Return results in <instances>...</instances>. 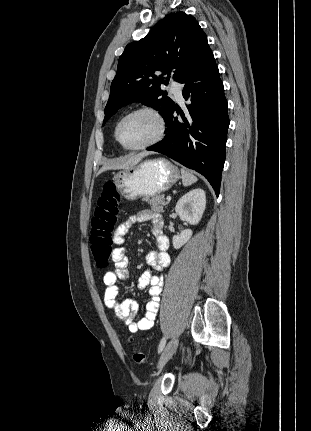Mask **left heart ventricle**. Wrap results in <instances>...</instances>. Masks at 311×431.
Listing matches in <instances>:
<instances>
[{
	"mask_svg": "<svg viewBox=\"0 0 311 431\" xmlns=\"http://www.w3.org/2000/svg\"><path fill=\"white\" fill-rule=\"evenodd\" d=\"M159 132V122L147 112L125 117L118 126V135L127 146H137L151 141Z\"/></svg>",
	"mask_w": 311,
	"mask_h": 431,
	"instance_id": "1",
	"label": "left heart ventricle"
}]
</instances>
